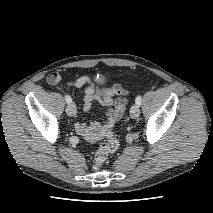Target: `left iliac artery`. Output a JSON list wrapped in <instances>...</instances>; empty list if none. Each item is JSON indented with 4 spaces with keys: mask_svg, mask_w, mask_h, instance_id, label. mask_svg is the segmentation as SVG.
<instances>
[{
    "mask_svg": "<svg viewBox=\"0 0 213 213\" xmlns=\"http://www.w3.org/2000/svg\"><path fill=\"white\" fill-rule=\"evenodd\" d=\"M141 101H142V97H141L140 95H138V96L136 97L135 103H136L138 106H140V105H141Z\"/></svg>",
    "mask_w": 213,
    "mask_h": 213,
    "instance_id": "44dca946",
    "label": "left iliac artery"
}]
</instances>
